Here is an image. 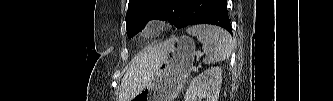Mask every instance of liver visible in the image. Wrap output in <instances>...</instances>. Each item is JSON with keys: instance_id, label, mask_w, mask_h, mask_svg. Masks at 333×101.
Returning <instances> with one entry per match:
<instances>
[{"instance_id": "6515ba94", "label": "liver", "mask_w": 333, "mask_h": 101, "mask_svg": "<svg viewBox=\"0 0 333 101\" xmlns=\"http://www.w3.org/2000/svg\"><path fill=\"white\" fill-rule=\"evenodd\" d=\"M167 49V42L149 47L131 62L121 82L120 101H131L152 80Z\"/></svg>"}]
</instances>
